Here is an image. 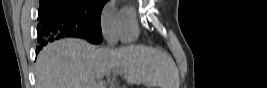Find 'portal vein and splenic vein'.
<instances>
[{
  "label": "portal vein and splenic vein",
  "mask_w": 267,
  "mask_h": 88,
  "mask_svg": "<svg viewBox=\"0 0 267 88\" xmlns=\"http://www.w3.org/2000/svg\"><path fill=\"white\" fill-rule=\"evenodd\" d=\"M116 74H121L120 72H118V71H113V75H116ZM104 76H98V78H103Z\"/></svg>",
  "instance_id": "obj_1"
}]
</instances>
